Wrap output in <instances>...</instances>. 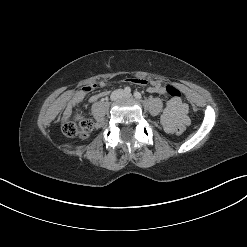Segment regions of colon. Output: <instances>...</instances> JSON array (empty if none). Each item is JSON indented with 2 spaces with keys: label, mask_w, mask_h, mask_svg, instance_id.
I'll list each match as a JSON object with an SVG mask.
<instances>
[{
  "label": "colon",
  "mask_w": 247,
  "mask_h": 247,
  "mask_svg": "<svg viewBox=\"0 0 247 247\" xmlns=\"http://www.w3.org/2000/svg\"><path fill=\"white\" fill-rule=\"evenodd\" d=\"M166 93L175 99H180L181 93L180 91L174 86H164ZM93 123L92 121L84 118L81 114L77 113L74 115L73 118H66L63 120L62 124V131L68 137H78V136H85L91 129ZM185 131V127L179 125L175 128V133L177 135L183 134Z\"/></svg>",
  "instance_id": "5ec220e1"
}]
</instances>
